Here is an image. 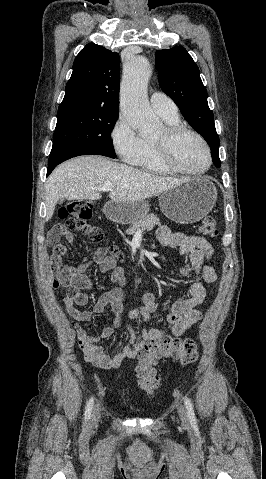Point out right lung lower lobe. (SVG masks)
<instances>
[{
  "mask_svg": "<svg viewBox=\"0 0 266 479\" xmlns=\"http://www.w3.org/2000/svg\"><path fill=\"white\" fill-rule=\"evenodd\" d=\"M81 154L75 153L67 150H54L51 151L48 161V171L47 176L53 171V169L63 161L70 159L72 157L79 156Z\"/></svg>",
  "mask_w": 266,
  "mask_h": 479,
  "instance_id": "98d812e1",
  "label": "right lung lower lobe"
}]
</instances>
